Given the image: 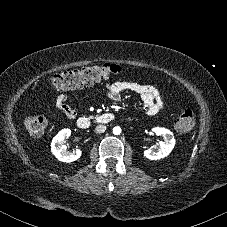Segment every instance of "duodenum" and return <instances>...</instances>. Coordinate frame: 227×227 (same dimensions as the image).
<instances>
[{"instance_id":"obj_1","label":"duodenum","mask_w":227,"mask_h":227,"mask_svg":"<svg viewBox=\"0 0 227 227\" xmlns=\"http://www.w3.org/2000/svg\"><path fill=\"white\" fill-rule=\"evenodd\" d=\"M113 119L114 115L112 113L101 114L94 121L87 117H81L77 120V126L80 129H87L93 124V122H95L96 124H107Z\"/></svg>"}]
</instances>
